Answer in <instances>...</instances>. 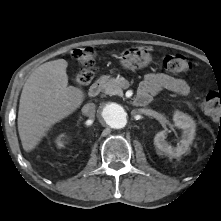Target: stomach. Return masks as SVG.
Returning a JSON list of instances; mask_svg holds the SVG:
<instances>
[{"mask_svg":"<svg viewBox=\"0 0 221 221\" xmlns=\"http://www.w3.org/2000/svg\"><path fill=\"white\" fill-rule=\"evenodd\" d=\"M151 62V55L146 48H127L120 56L123 68L137 70L146 67Z\"/></svg>","mask_w":221,"mask_h":221,"instance_id":"obj_1","label":"stomach"}]
</instances>
